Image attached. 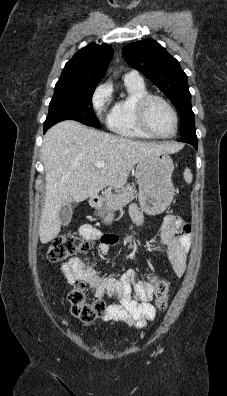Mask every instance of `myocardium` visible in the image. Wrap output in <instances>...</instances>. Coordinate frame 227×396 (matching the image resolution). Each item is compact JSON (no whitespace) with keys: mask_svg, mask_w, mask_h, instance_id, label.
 <instances>
[{"mask_svg":"<svg viewBox=\"0 0 227 396\" xmlns=\"http://www.w3.org/2000/svg\"><path fill=\"white\" fill-rule=\"evenodd\" d=\"M153 100L161 101L163 104L166 105V107L170 110L171 114L173 115L175 129L172 134L160 135V134L156 133L150 127L148 120H147V111H148V107H149L150 103ZM136 116H137L138 124L142 128V130L154 138L170 139L177 135V132L179 129V117H178L177 111L174 108V106L172 105V103L168 99H166L165 97H163L161 95L148 93L145 96H143L141 99H139L136 104Z\"/></svg>","mask_w":227,"mask_h":396,"instance_id":"myocardium-1","label":"myocardium"}]
</instances>
